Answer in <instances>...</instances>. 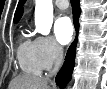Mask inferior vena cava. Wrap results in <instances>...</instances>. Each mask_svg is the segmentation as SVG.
Masks as SVG:
<instances>
[{
    "label": "inferior vena cava",
    "instance_id": "inferior-vena-cava-1",
    "mask_svg": "<svg viewBox=\"0 0 107 89\" xmlns=\"http://www.w3.org/2000/svg\"><path fill=\"white\" fill-rule=\"evenodd\" d=\"M63 48L62 46L56 44L55 45V63H54V68L51 72V74H55L57 73V71L59 70L61 63L63 61Z\"/></svg>",
    "mask_w": 107,
    "mask_h": 89
}]
</instances>
